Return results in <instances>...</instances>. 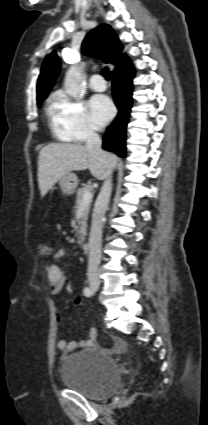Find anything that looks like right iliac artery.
I'll list each match as a JSON object with an SVG mask.
<instances>
[{
    "label": "right iliac artery",
    "instance_id": "82829eb1",
    "mask_svg": "<svg viewBox=\"0 0 208 425\" xmlns=\"http://www.w3.org/2000/svg\"><path fill=\"white\" fill-rule=\"evenodd\" d=\"M83 292H84V295H85L86 297H90V296L92 295V291H91V289H90V288H88V287H85V288H84V290H83Z\"/></svg>",
    "mask_w": 208,
    "mask_h": 425
}]
</instances>
